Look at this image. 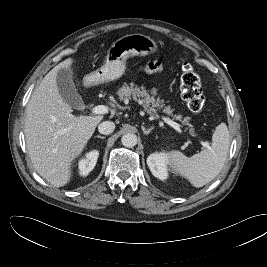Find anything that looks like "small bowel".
<instances>
[{
  "instance_id": "1",
  "label": "small bowel",
  "mask_w": 267,
  "mask_h": 267,
  "mask_svg": "<svg viewBox=\"0 0 267 267\" xmlns=\"http://www.w3.org/2000/svg\"><path fill=\"white\" fill-rule=\"evenodd\" d=\"M159 68V65L157 63H150L146 69L149 71H154L157 70Z\"/></svg>"
}]
</instances>
